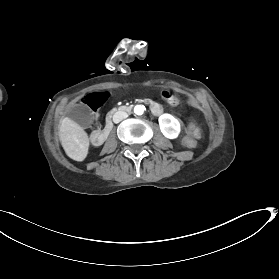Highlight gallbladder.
Instances as JSON below:
<instances>
[{
    "label": "gallbladder",
    "mask_w": 279,
    "mask_h": 279,
    "mask_svg": "<svg viewBox=\"0 0 279 279\" xmlns=\"http://www.w3.org/2000/svg\"><path fill=\"white\" fill-rule=\"evenodd\" d=\"M64 113H69V119L78 122L82 129H85L92 121L90 110L81 104L74 106L70 111L64 110Z\"/></svg>",
    "instance_id": "obj_1"
}]
</instances>
